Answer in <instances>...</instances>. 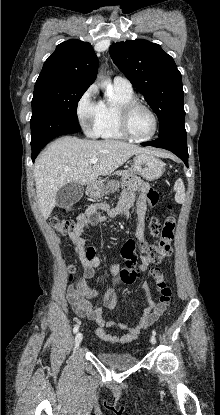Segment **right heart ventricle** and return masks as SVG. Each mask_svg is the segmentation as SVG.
Wrapping results in <instances>:
<instances>
[{
	"mask_svg": "<svg viewBox=\"0 0 220 415\" xmlns=\"http://www.w3.org/2000/svg\"><path fill=\"white\" fill-rule=\"evenodd\" d=\"M134 99L133 91L125 92L113 88L109 97L101 101V114L97 126V136L104 139H124L117 122L118 107Z\"/></svg>",
	"mask_w": 220,
	"mask_h": 415,
	"instance_id": "right-heart-ventricle-1",
	"label": "right heart ventricle"
}]
</instances>
